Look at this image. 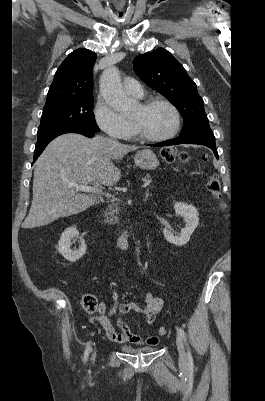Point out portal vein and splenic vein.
I'll use <instances>...</instances> for the list:
<instances>
[{"label":"portal vein and splenic vein","instance_id":"portal-vein-and-splenic-vein-1","mask_svg":"<svg viewBox=\"0 0 265 401\" xmlns=\"http://www.w3.org/2000/svg\"><path fill=\"white\" fill-rule=\"evenodd\" d=\"M150 182L151 178L150 180H144L142 188L146 189L147 184H150ZM73 186H75L76 190H86V192H98V190H96V188H93V186H84V184H73ZM105 196H111V194H109V192H106Z\"/></svg>","mask_w":265,"mask_h":401}]
</instances>
